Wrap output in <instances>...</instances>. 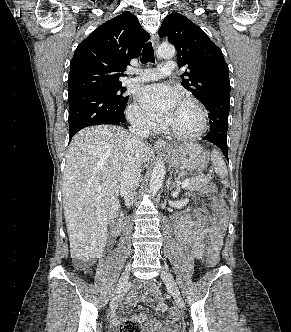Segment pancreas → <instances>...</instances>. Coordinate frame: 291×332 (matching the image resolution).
I'll use <instances>...</instances> for the list:
<instances>
[{
	"instance_id": "1",
	"label": "pancreas",
	"mask_w": 291,
	"mask_h": 332,
	"mask_svg": "<svg viewBox=\"0 0 291 332\" xmlns=\"http://www.w3.org/2000/svg\"><path fill=\"white\" fill-rule=\"evenodd\" d=\"M190 180V183L186 187V189L190 191H201L203 187L210 182V178L207 176H197Z\"/></svg>"
}]
</instances>
